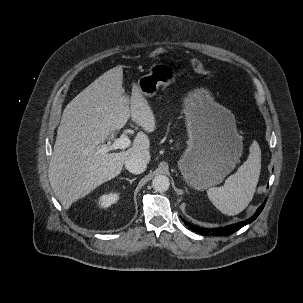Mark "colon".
Wrapping results in <instances>:
<instances>
[{
  "mask_svg": "<svg viewBox=\"0 0 303 303\" xmlns=\"http://www.w3.org/2000/svg\"><path fill=\"white\" fill-rule=\"evenodd\" d=\"M166 53V50L163 47H157L155 48L151 56L154 59L162 57ZM190 66L192 70L196 73L199 74H205V75H210L212 74V70L205 66L199 59L193 58L190 60Z\"/></svg>",
  "mask_w": 303,
  "mask_h": 303,
  "instance_id": "obj_1",
  "label": "colon"
}]
</instances>
